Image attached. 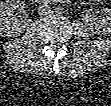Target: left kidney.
<instances>
[{"label":"left kidney","instance_id":"5707ae66","mask_svg":"<svg viewBox=\"0 0 111 106\" xmlns=\"http://www.w3.org/2000/svg\"><path fill=\"white\" fill-rule=\"evenodd\" d=\"M102 16L95 18L90 24L93 30L99 33H110L111 32V9H103Z\"/></svg>","mask_w":111,"mask_h":106}]
</instances>
